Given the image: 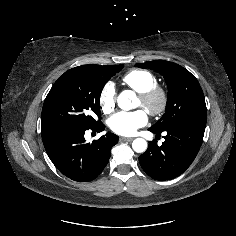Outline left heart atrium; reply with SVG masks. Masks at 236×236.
I'll return each mask as SVG.
<instances>
[{"mask_svg":"<svg viewBox=\"0 0 236 236\" xmlns=\"http://www.w3.org/2000/svg\"><path fill=\"white\" fill-rule=\"evenodd\" d=\"M148 122L146 111L140 109L133 112L121 111L114 114L109 120V128L122 136L133 135L139 128Z\"/></svg>","mask_w":236,"mask_h":236,"instance_id":"left-heart-atrium-1","label":"left heart atrium"}]
</instances>
